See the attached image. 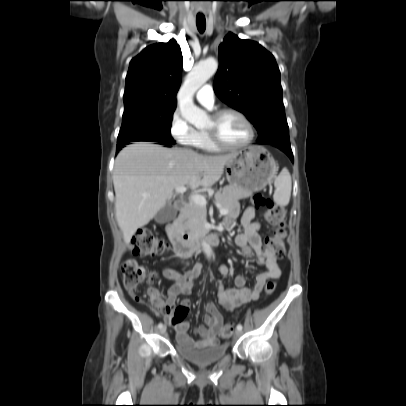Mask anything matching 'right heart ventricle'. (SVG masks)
Instances as JSON below:
<instances>
[{
  "label": "right heart ventricle",
  "mask_w": 406,
  "mask_h": 406,
  "mask_svg": "<svg viewBox=\"0 0 406 406\" xmlns=\"http://www.w3.org/2000/svg\"><path fill=\"white\" fill-rule=\"evenodd\" d=\"M195 146L205 151H217L218 147L211 141L206 131L200 132V136L195 143Z\"/></svg>",
  "instance_id": "obj_1"
}]
</instances>
